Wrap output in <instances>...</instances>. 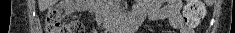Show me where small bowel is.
Instances as JSON below:
<instances>
[{
    "label": "small bowel",
    "instance_id": "c3829d8e",
    "mask_svg": "<svg viewBox=\"0 0 235 33\" xmlns=\"http://www.w3.org/2000/svg\"><path fill=\"white\" fill-rule=\"evenodd\" d=\"M181 0H143L134 7V13L149 20L168 19L170 25L179 33H194L192 28L184 23Z\"/></svg>",
    "mask_w": 235,
    "mask_h": 33
}]
</instances>
